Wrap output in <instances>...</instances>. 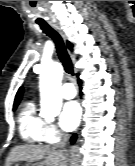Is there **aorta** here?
<instances>
[{
	"instance_id": "1",
	"label": "aorta",
	"mask_w": 135,
	"mask_h": 166,
	"mask_svg": "<svg viewBox=\"0 0 135 166\" xmlns=\"http://www.w3.org/2000/svg\"><path fill=\"white\" fill-rule=\"evenodd\" d=\"M62 76L63 68L57 62L45 66L40 74V115L44 118H53L60 113Z\"/></svg>"
}]
</instances>
